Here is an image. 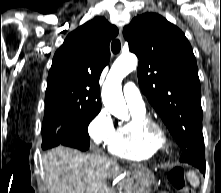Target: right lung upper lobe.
<instances>
[{
    "label": "right lung upper lobe",
    "mask_w": 221,
    "mask_h": 193,
    "mask_svg": "<svg viewBox=\"0 0 221 193\" xmlns=\"http://www.w3.org/2000/svg\"><path fill=\"white\" fill-rule=\"evenodd\" d=\"M117 34L114 25L98 16L66 37L49 71L45 112L101 109L99 78L110 59L109 43Z\"/></svg>",
    "instance_id": "1"
}]
</instances>
